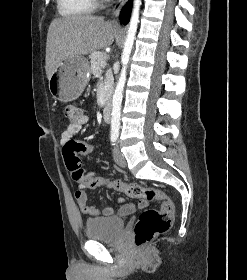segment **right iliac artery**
Returning a JSON list of instances; mask_svg holds the SVG:
<instances>
[{"instance_id":"82829eb1","label":"right iliac artery","mask_w":247,"mask_h":280,"mask_svg":"<svg viewBox=\"0 0 247 280\" xmlns=\"http://www.w3.org/2000/svg\"><path fill=\"white\" fill-rule=\"evenodd\" d=\"M116 140H117L116 137H112V138H111V143H112V145H115Z\"/></svg>"}]
</instances>
